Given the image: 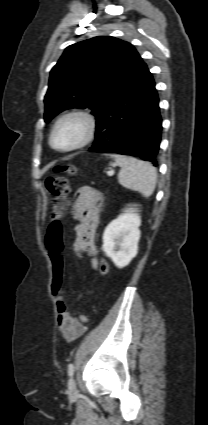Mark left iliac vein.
Returning a JSON list of instances; mask_svg holds the SVG:
<instances>
[{"label":"left iliac vein","mask_w":208,"mask_h":425,"mask_svg":"<svg viewBox=\"0 0 208 425\" xmlns=\"http://www.w3.org/2000/svg\"><path fill=\"white\" fill-rule=\"evenodd\" d=\"M68 390H69L70 397L75 398L77 396L78 390H77V386H76V382H75L74 378H71L69 380Z\"/></svg>","instance_id":"1"}]
</instances>
